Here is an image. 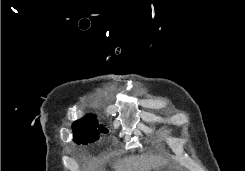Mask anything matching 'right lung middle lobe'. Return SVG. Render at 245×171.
Wrapping results in <instances>:
<instances>
[{
    "label": "right lung middle lobe",
    "mask_w": 245,
    "mask_h": 171,
    "mask_svg": "<svg viewBox=\"0 0 245 171\" xmlns=\"http://www.w3.org/2000/svg\"><path fill=\"white\" fill-rule=\"evenodd\" d=\"M74 138L77 144L95 142L99 139L100 133H107V129L98 125L94 115L85 116L73 123Z\"/></svg>",
    "instance_id": "dd1d6c3e"
}]
</instances>
